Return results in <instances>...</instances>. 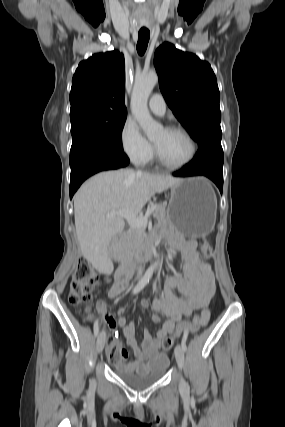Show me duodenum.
Instances as JSON below:
<instances>
[{"mask_svg": "<svg viewBox=\"0 0 285 427\" xmlns=\"http://www.w3.org/2000/svg\"><path fill=\"white\" fill-rule=\"evenodd\" d=\"M159 240L160 235L154 232L146 236L145 240L138 246L134 255L126 257L123 253L119 252V266L115 272V277L121 281H128L134 271L136 263L152 257Z\"/></svg>", "mask_w": 285, "mask_h": 427, "instance_id": "obj_1", "label": "duodenum"}]
</instances>
